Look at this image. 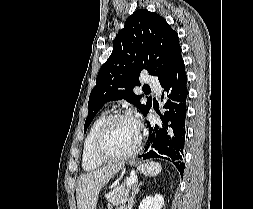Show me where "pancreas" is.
Instances as JSON below:
<instances>
[{"mask_svg": "<svg viewBox=\"0 0 253 209\" xmlns=\"http://www.w3.org/2000/svg\"><path fill=\"white\" fill-rule=\"evenodd\" d=\"M132 189V186H127L124 184L121 186V188L117 191H115L113 194H110L106 197L108 201V209H112L113 206H120L124 204L127 200V197L129 195L130 190Z\"/></svg>", "mask_w": 253, "mask_h": 209, "instance_id": "obj_1", "label": "pancreas"}]
</instances>
